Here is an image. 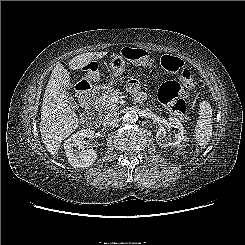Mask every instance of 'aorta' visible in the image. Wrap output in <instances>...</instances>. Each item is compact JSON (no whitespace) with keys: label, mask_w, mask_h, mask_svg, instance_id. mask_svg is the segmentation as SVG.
I'll return each mask as SVG.
<instances>
[{"label":"aorta","mask_w":245,"mask_h":245,"mask_svg":"<svg viewBox=\"0 0 245 245\" xmlns=\"http://www.w3.org/2000/svg\"><path fill=\"white\" fill-rule=\"evenodd\" d=\"M124 119L126 122L135 123L138 120V115L135 111H129L125 114Z\"/></svg>","instance_id":"obj_1"}]
</instances>
